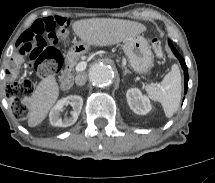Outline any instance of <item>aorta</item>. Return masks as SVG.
Returning <instances> with one entry per match:
<instances>
[{
    "instance_id": "obj_1",
    "label": "aorta",
    "mask_w": 215,
    "mask_h": 183,
    "mask_svg": "<svg viewBox=\"0 0 215 183\" xmlns=\"http://www.w3.org/2000/svg\"><path fill=\"white\" fill-rule=\"evenodd\" d=\"M114 75L112 66L106 62H97L89 70L91 83L100 88L110 85L114 79Z\"/></svg>"
}]
</instances>
